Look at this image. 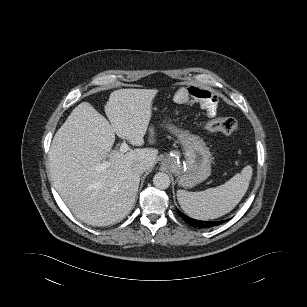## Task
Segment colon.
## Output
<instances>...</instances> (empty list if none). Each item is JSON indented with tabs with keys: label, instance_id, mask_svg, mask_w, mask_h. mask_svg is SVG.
Here are the masks:
<instances>
[{
	"label": "colon",
	"instance_id": "colon-1",
	"mask_svg": "<svg viewBox=\"0 0 307 307\" xmlns=\"http://www.w3.org/2000/svg\"><path fill=\"white\" fill-rule=\"evenodd\" d=\"M204 129L209 132L234 134L239 130V123L231 117L214 118L204 124Z\"/></svg>",
	"mask_w": 307,
	"mask_h": 307
}]
</instances>
